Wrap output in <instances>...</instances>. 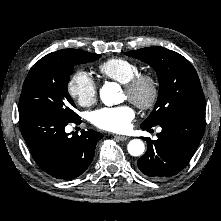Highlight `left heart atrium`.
<instances>
[{"instance_id": "39dd6f15", "label": "left heart atrium", "mask_w": 221, "mask_h": 221, "mask_svg": "<svg viewBox=\"0 0 221 221\" xmlns=\"http://www.w3.org/2000/svg\"><path fill=\"white\" fill-rule=\"evenodd\" d=\"M134 110L128 105L106 107L92 114V122L100 129L110 132H126L134 119Z\"/></svg>"}]
</instances>
